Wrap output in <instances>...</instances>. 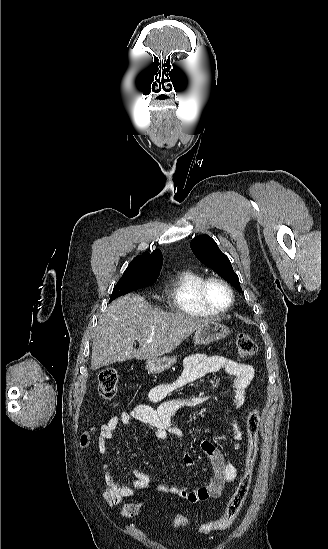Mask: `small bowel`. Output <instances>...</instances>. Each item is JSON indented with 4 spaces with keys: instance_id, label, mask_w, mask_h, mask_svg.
Wrapping results in <instances>:
<instances>
[{
    "instance_id": "1",
    "label": "small bowel",
    "mask_w": 328,
    "mask_h": 549,
    "mask_svg": "<svg viewBox=\"0 0 328 549\" xmlns=\"http://www.w3.org/2000/svg\"><path fill=\"white\" fill-rule=\"evenodd\" d=\"M220 370H224L233 377V405L235 409L241 408L245 402L246 389L254 378L253 366L239 363L221 355L198 353L185 358L184 369L177 378L161 383L149 391L148 400L150 403H159L157 407L150 404L136 405L129 411H123L112 416L101 427L97 448L104 461L103 467L105 469V487L102 496L109 507L123 504L126 499L135 495L136 489L146 490L152 483V477L149 474L137 470L132 471L133 480L130 484H121L111 473L106 461V449L108 442L117 434L119 424L131 427L135 421L139 422L153 430L156 437L163 441L171 438H181V430L171 424V418L180 409L201 405L209 397L206 395H192L173 399H167V397L175 390ZM230 423L235 440L234 449L238 450L243 432L235 418H231ZM200 448L209 458L213 468V476L210 482L194 490L176 485L167 486L160 482L159 487L161 490L177 495L189 503H198L221 496L225 484L236 479L237 467L233 461L226 460L221 451L210 441L202 440ZM181 456L186 467L194 465L193 458L182 446Z\"/></svg>"
}]
</instances>
